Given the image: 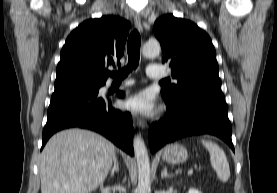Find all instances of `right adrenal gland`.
<instances>
[{"label":"right adrenal gland","mask_w":277,"mask_h":193,"mask_svg":"<svg viewBox=\"0 0 277 193\" xmlns=\"http://www.w3.org/2000/svg\"><path fill=\"white\" fill-rule=\"evenodd\" d=\"M118 171H119V163L117 161V158H115L113 168L110 170V176L113 177L114 173Z\"/></svg>","instance_id":"2a0ac1e0"}]
</instances>
